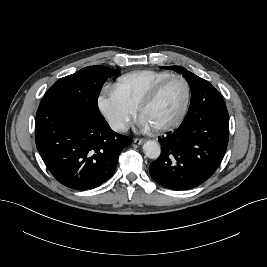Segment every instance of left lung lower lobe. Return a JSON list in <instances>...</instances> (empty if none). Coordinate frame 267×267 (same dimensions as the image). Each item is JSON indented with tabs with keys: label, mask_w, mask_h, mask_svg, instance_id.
I'll return each mask as SVG.
<instances>
[{
	"label": "left lung lower lobe",
	"mask_w": 267,
	"mask_h": 267,
	"mask_svg": "<svg viewBox=\"0 0 267 267\" xmlns=\"http://www.w3.org/2000/svg\"><path fill=\"white\" fill-rule=\"evenodd\" d=\"M228 139V112H214L206 100L197 102L177 130L159 139L161 155L150 164V175L172 190L197 187L216 171Z\"/></svg>",
	"instance_id": "1"
}]
</instances>
